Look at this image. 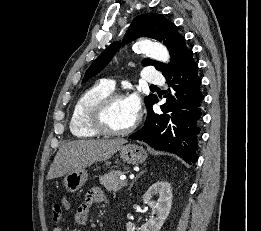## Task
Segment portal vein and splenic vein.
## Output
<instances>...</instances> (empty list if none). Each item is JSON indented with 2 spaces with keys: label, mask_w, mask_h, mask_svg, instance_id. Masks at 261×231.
I'll use <instances>...</instances> for the list:
<instances>
[{
  "label": "portal vein and splenic vein",
  "mask_w": 261,
  "mask_h": 231,
  "mask_svg": "<svg viewBox=\"0 0 261 231\" xmlns=\"http://www.w3.org/2000/svg\"><path fill=\"white\" fill-rule=\"evenodd\" d=\"M121 181H123V184L126 185L127 184V181L125 180L126 178L125 177H120Z\"/></svg>",
  "instance_id": "portal-vein-and-splenic-vein-1"
}]
</instances>
